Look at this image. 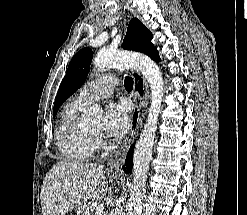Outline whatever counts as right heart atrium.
<instances>
[{
	"label": "right heart atrium",
	"instance_id": "right-heart-atrium-1",
	"mask_svg": "<svg viewBox=\"0 0 247 215\" xmlns=\"http://www.w3.org/2000/svg\"><path fill=\"white\" fill-rule=\"evenodd\" d=\"M97 144L102 146V145H104V141L102 139H99Z\"/></svg>",
	"mask_w": 247,
	"mask_h": 215
}]
</instances>
